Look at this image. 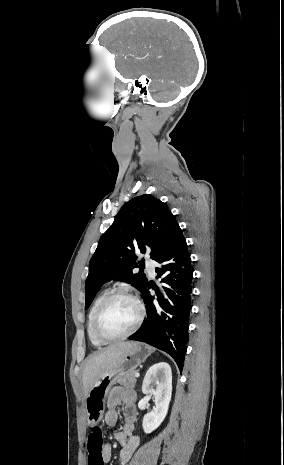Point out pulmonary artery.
Here are the masks:
<instances>
[{
    "mask_svg": "<svg viewBox=\"0 0 284 465\" xmlns=\"http://www.w3.org/2000/svg\"><path fill=\"white\" fill-rule=\"evenodd\" d=\"M142 261H143V262H149V261H150V256H149V255H143V256H142ZM150 275H151V276L154 275V270H150Z\"/></svg>",
    "mask_w": 284,
    "mask_h": 465,
    "instance_id": "obj_1",
    "label": "pulmonary artery"
}]
</instances>
